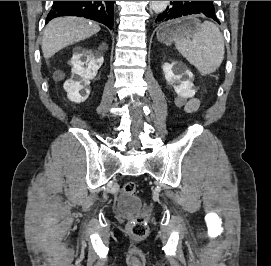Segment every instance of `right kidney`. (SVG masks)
Masks as SVG:
<instances>
[{"label": "right kidney", "instance_id": "ca27d5eb", "mask_svg": "<svg viewBox=\"0 0 271 266\" xmlns=\"http://www.w3.org/2000/svg\"><path fill=\"white\" fill-rule=\"evenodd\" d=\"M103 61V57H98L92 52L73 54L72 76L64 83V89L70 101L81 103L88 98L90 80L96 76Z\"/></svg>", "mask_w": 271, "mask_h": 266}]
</instances>
